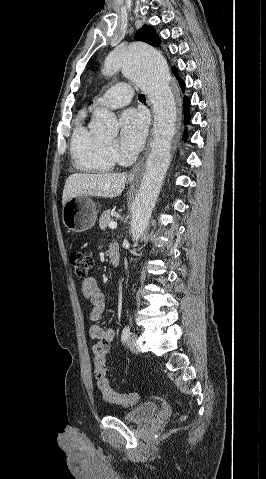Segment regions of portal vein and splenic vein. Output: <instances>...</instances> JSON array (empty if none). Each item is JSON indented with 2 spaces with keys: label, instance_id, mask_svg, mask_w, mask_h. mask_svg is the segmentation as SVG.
Listing matches in <instances>:
<instances>
[{
  "label": "portal vein and splenic vein",
  "instance_id": "1",
  "mask_svg": "<svg viewBox=\"0 0 266 479\" xmlns=\"http://www.w3.org/2000/svg\"><path fill=\"white\" fill-rule=\"evenodd\" d=\"M109 227L111 229H115L117 227V223L112 221V222L109 223Z\"/></svg>",
  "mask_w": 266,
  "mask_h": 479
}]
</instances>
